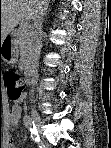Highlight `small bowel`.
<instances>
[{"label": "small bowel", "instance_id": "1", "mask_svg": "<svg viewBox=\"0 0 111 148\" xmlns=\"http://www.w3.org/2000/svg\"><path fill=\"white\" fill-rule=\"evenodd\" d=\"M21 108L18 104L12 106L11 111L8 114V120L10 125H15L20 117ZM7 147H14L12 139L8 140Z\"/></svg>", "mask_w": 111, "mask_h": 148}]
</instances>
